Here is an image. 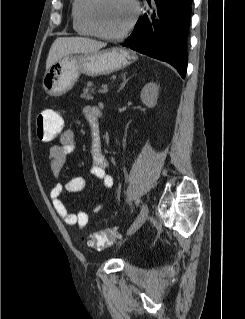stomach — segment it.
Returning a JSON list of instances; mask_svg holds the SVG:
<instances>
[{"instance_id":"0dacf381","label":"stomach","mask_w":245,"mask_h":319,"mask_svg":"<svg viewBox=\"0 0 245 319\" xmlns=\"http://www.w3.org/2000/svg\"><path fill=\"white\" fill-rule=\"evenodd\" d=\"M136 56L122 48H112L85 54H69L53 63L43 76V88L58 97L72 89L81 73L109 74L126 67Z\"/></svg>"}]
</instances>
